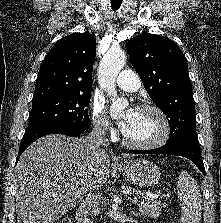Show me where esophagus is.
<instances>
[{
	"mask_svg": "<svg viewBox=\"0 0 221 223\" xmlns=\"http://www.w3.org/2000/svg\"><path fill=\"white\" fill-rule=\"evenodd\" d=\"M113 160H114L115 162H117V163H121V162H123V160H122V158H121L120 156H114V157H113Z\"/></svg>",
	"mask_w": 221,
	"mask_h": 223,
	"instance_id": "esophagus-1",
	"label": "esophagus"
}]
</instances>
